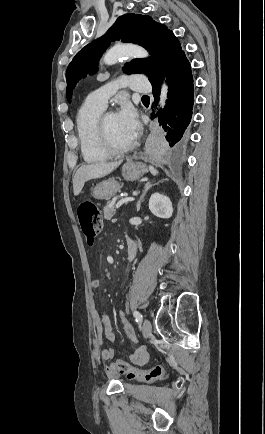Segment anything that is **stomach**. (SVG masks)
<instances>
[{"mask_svg":"<svg viewBox=\"0 0 265 434\" xmlns=\"http://www.w3.org/2000/svg\"><path fill=\"white\" fill-rule=\"evenodd\" d=\"M146 172H148V170L142 162H126L122 168V176L124 180H129V182L139 180ZM121 188L120 182H116V180L110 178V180H104V182L97 184L92 190V196H94L96 200H109V198L121 192Z\"/></svg>","mask_w":265,"mask_h":434,"instance_id":"stomach-1","label":"stomach"}]
</instances>
